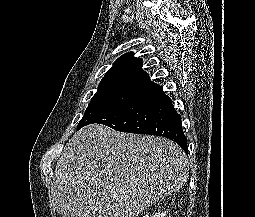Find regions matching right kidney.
<instances>
[{"instance_id": "1", "label": "right kidney", "mask_w": 255, "mask_h": 217, "mask_svg": "<svg viewBox=\"0 0 255 217\" xmlns=\"http://www.w3.org/2000/svg\"><path fill=\"white\" fill-rule=\"evenodd\" d=\"M165 216H166L165 212L158 211L153 216H149L147 214V215H144L143 217H165Z\"/></svg>"}]
</instances>
